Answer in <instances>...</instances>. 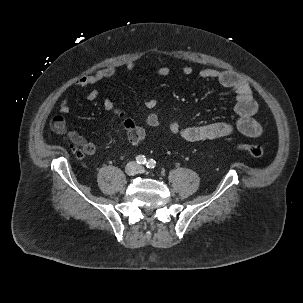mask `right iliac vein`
<instances>
[{"instance_id": "63e3f726", "label": "right iliac vein", "mask_w": 303, "mask_h": 303, "mask_svg": "<svg viewBox=\"0 0 303 303\" xmlns=\"http://www.w3.org/2000/svg\"><path fill=\"white\" fill-rule=\"evenodd\" d=\"M125 172L127 175L129 176H133L137 173V166L135 165V163L130 162L126 168H125Z\"/></svg>"}]
</instances>
